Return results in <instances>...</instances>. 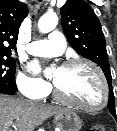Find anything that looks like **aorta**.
Wrapping results in <instances>:
<instances>
[{
    "label": "aorta",
    "mask_w": 117,
    "mask_h": 131,
    "mask_svg": "<svg viewBox=\"0 0 117 131\" xmlns=\"http://www.w3.org/2000/svg\"><path fill=\"white\" fill-rule=\"evenodd\" d=\"M58 24V17L54 13L44 14L38 21V28L40 32L47 33L52 31ZM48 73V69L45 70Z\"/></svg>",
    "instance_id": "762f6f07"
}]
</instances>
